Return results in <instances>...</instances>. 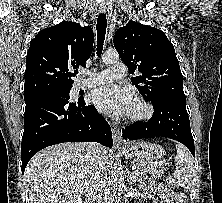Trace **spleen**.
<instances>
[{
	"mask_svg": "<svg viewBox=\"0 0 222 203\" xmlns=\"http://www.w3.org/2000/svg\"><path fill=\"white\" fill-rule=\"evenodd\" d=\"M177 154L175 162L177 164L174 176L177 182L185 189L190 190L195 179V167L193 158L188 149L178 143L176 144Z\"/></svg>",
	"mask_w": 222,
	"mask_h": 203,
	"instance_id": "obj_1",
	"label": "spleen"
}]
</instances>
